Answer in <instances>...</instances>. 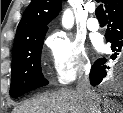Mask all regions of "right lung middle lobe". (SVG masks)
I'll return each instance as SVG.
<instances>
[{
    "label": "right lung middle lobe",
    "instance_id": "1",
    "mask_svg": "<svg viewBox=\"0 0 123 113\" xmlns=\"http://www.w3.org/2000/svg\"><path fill=\"white\" fill-rule=\"evenodd\" d=\"M44 36L25 41L13 50L10 95L17 98L48 82L41 72Z\"/></svg>",
    "mask_w": 123,
    "mask_h": 113
}]
</instances>
